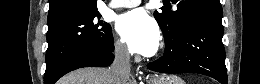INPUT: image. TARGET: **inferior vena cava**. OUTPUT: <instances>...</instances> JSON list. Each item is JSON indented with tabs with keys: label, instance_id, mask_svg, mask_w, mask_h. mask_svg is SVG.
Returning <instances> with one entry per match:
<instances>
[{
	"label": "inferior vena cava",
	"instance_id": "obj_1",
	"mask_svg": "<svg viewBox=\"0 0 260 84\" xmlns=\"http://www.w3.org/2000/svg\"><path fill=\"white\" fill-rule=\"evenodd\" d=\"M115 84H126L130 77V54L127 49L117 47L110 67Z\"/></svg>",
	"mask_w": 260,
	"mask_h": 84
}]
</instances>
